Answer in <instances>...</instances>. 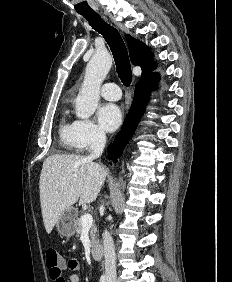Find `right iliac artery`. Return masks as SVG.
I'll list each match as a JSON object with an SVG mask.
<instances>
[{"label":"right iliac artery","instance_id":"right-iliac-artery-1","mask_svg":"<svg viewBox=\"0 0 232 282\" xmlns=\"http://www.w3.org/2000/svg\"><path fill=\"white\" fill-rule=\"evenodd\" d=\"M100 282H106V276H105V275H102V276H101Z\"/></svg>","mask_w":232,"mask_h":282}]
</instances>
